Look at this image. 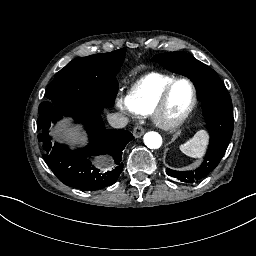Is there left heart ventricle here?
Returning a JSON list of instances; mask_svg holds the SVG:
<instances>
[{
    "mask_svg": "<svg viewBox=\"0 0 256 256\" xmlns=\"http://www.w3.org/2000/svg\"><path fill=\"white\" fill-rule=\"evenodd\" d=\"M192 93L190 86L185 82L177 84L171 93L167 105L160 109L154 110L146 101L142 105L143 113H152L164 125L169 122L173 116L183 113L191 104Z\"/></svg>",
    "mask_w": 256,
    "mask_h": 256,
    "instance_id": "obj_1",
    "label": "left heart ventricle"
}]
</instances>
